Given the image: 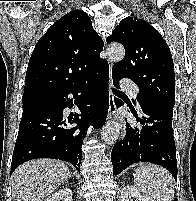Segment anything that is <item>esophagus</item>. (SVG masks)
I'll return each mask as SVG.
<instances>
[{
	"instance_id": "34e87169",
	"label": "esophagus",
	"mask_w": 196,
	"mask_h": 201,
	"mask_svg": "<svg viewBox=\"0 0 196 201\" xmlns=\"http://www.w3.org/2000/svg\"><path fill=\"white\" fill-rule=\"evenodd\" d=\"M109 86H110V90H109V114H108V118H115L117 116V107L116 104L114 102V94L112 92V87H113V79H112V64H110V68H109ZM125 137V128L122 129L121 131V138Z\"/></svg>"
}]
</instances>
